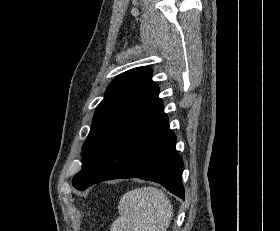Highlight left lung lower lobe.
Instances as JSON below:
<instances>
[{"mask_svg": "<svg viewBox=\"0 0 280 231\" xmlns=\"http://www.w3.org/2000/svg\"><path fill=\"white\" fill-rule=\"evenodd\" d=\"M163 105L117 133L100 151L78 190L112 179L140 178L163 185L184 200L183 161L175 150Z\"/></svg>", "mask_w": 280, "mask_h": 231, "instance_id": "1", "label": "left lung lower lobe"}]
</instances>
